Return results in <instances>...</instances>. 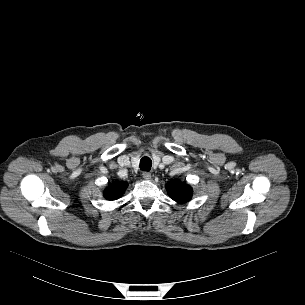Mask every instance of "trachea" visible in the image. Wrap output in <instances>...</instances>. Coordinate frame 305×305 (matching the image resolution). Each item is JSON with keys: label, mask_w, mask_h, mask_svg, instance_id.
<instances>
[{"label": "trachea", "mask_w": 305, "mask_h": 305, "mask_svg": "<svg viewBox=\"0 0 305 305\" xmlns=\"http://www.w3.org/2000/svg\"><path fill=\"white\" fill-rule=\"evenodd\" d=\"M151 166H152V161L149 157L145 156L140 160V169L141 170L150 171Z\"/></svg>", "instance_id": "trachea-1"}]
</instances>
